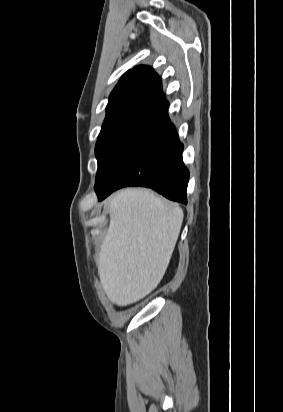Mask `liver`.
<instances>
[{
	"mask_svg": "<svg viewBox=\"0 0 283 412\" xmlns=\"http://www.w3.org/2000/svg\"><path fill=\"white\" fill-rule=\"evenodd\" d=\"M110 224L98 273L109 300L126 306L143 299L162 280L182 222L183 210L148 189L127 188L108 202Z\"/></svg>",
	"mask_w": 283,
	"mask_h": 412,
	"instance_id": "obj_1",
	"label": "liver"
}]
</instances>
